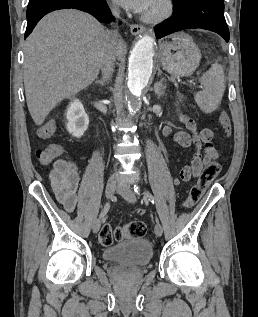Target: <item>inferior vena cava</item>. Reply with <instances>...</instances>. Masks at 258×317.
<instances>
[{"mask_svg":"<svg viewBox=\"0 0 258 317\" xmlns=\"http://www.w3.org/2000/svg\"><path fill=\"white\" fill-rule=\"evenodd\" d=\"M112 12L115 14V16H119V8H117V6H113ZM118 40V30H109L101 62V70L104 78H109L114 70ZM111 177L113 178L114 176L112 175ZM115 177L117 178L118 176L116 175Z\"/></svg>","mask_w":258,"mask_h":317,"instance_id":"1","label":"inferior vena cava"}]
</instances>
